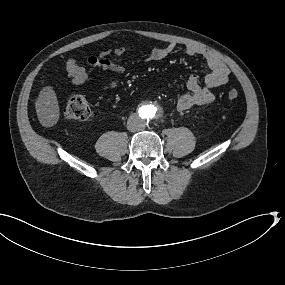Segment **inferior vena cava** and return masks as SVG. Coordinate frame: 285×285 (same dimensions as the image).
<instances>
[{"instance_id":"602c4592","label":"inferior vena cava","mask_w":285,"mask_h":285,"mask_svg":"<svg viewBox=\"0 0 285 285\" xmlns=\"http://www.w3.org/2000/svg\"><path fill=\"white\" fill-rule=\"evenodd\" d=\"M143 128H144V123L139 117L134 116L128 119L127 129L129 131L135 132V131L142 130Z\"/></svg>"}]
</instances>
